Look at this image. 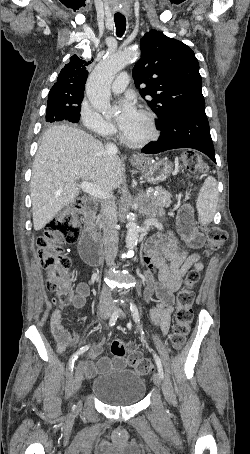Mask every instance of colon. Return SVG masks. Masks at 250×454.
<instances>
[{
	"label": "colon",
	"mask_w": 250,
	"mask_h": 454,
	"mask_svg": "<svg viewBox=\"0 0 250 454\" xmlns=\"http://www.w3.org/2000/svg\"><path fill=\"white\" fill-rule=\"evenodd\" d=\"M184 166L192 172L207 171V166L201 157L194 151H186L183 156ZM82 207L80 200L75 201L73 207L65 209L48 222L43 236L37 239L38 255L47 276V289L56 294L57 300L62 305L71 303L72 288L70 277L71 261L62 250V243L75 242L80 234L77 211ZM226 239V232L220 227L207 229V254L219 249ZM199 273L192 270L188 273L184 286L176 294V310L174 314L173 332L171 343L173 348H181L190 331L193 321L192 305L194 294L193 285L198 281ZM111 352L114 356H127V361L138 373L148 374L153 370V364L134 351L132 346L121 340L111 343Z\"/></svg>",
	"instance_id": "5ec220e1"
}]
</instances>
